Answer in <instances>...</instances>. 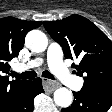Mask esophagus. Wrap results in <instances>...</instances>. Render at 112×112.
<instances>
[{
	"label": "esophagus",
	"instance_id": "obj_1",
	"mask_svg": "<svg viewBox=\"0 0 112 112\" xmlns=\"http://www.w3.org/2000/svg\"><path fill=\"white\" fill-rule=\"evenodd\" d=\"M43 83L45 90L48 92H53L56 88L59 87V84L53 80L43 78Z\"/></svg>",
	"mask_w": 112,
	"mask_h": 112
}]
</instances>
